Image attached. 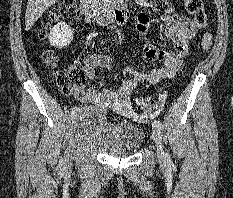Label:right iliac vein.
Returning a JSON list of instances; mask_svg holds the SVG:
<instances>
[{"label":"right iliac vein","mask_w":233,"mask_h":198,"mask_svg":"<svg viewBox=\"0 0 233 198\" xmlns=\"http://www.w3.org/2000/svg\"><path fill=\"white\" fill-rule=\"evenodd\" d=\"M76 117V115L74 116V118ZM73 160V155L71 153H67L65 156V165H70L71 162Z\"/></svg>","instance_id":"obj_1"}]
</instances>
